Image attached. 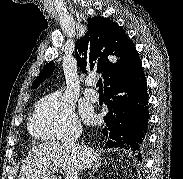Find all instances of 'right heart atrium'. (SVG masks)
<instances>
[{"label":"right heart atrium","mask_w":183,"mask_h":179,"mask_svg":"<svg viewBox=\"0 0 183 179\" xmlns=\"http://www.w3.org/2000/svg\"><path fill=\"white\" fill-rule=\"evenodd\" d=\"M81 124L74 104L59 92L43 97L31 120V131L46 140H58L78 133Z\"/></svg>","instance_id":"obj_1"}]
</instances>
